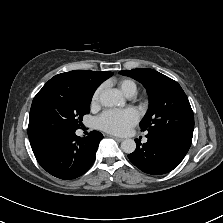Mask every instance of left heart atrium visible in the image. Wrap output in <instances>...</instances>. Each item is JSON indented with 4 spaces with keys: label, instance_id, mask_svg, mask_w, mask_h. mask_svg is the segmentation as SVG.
<instances>
[{
    "label": "left heart atrium",
    "instance_id": "1",
    "mask_svg": "<svg viewBox=\"0 0 223 223\" xmlns=\"http://www.w3.org/2000/svg\"><path fill=\"white\" fill-rule=\"evenodd\" d=\"M139 113L134 108L108 109L97 117L98 127L108 133L125 134L139 121Z\"/></svg>",
    "mask_w": 223,
    "mask_h": 223
}]
</instances>
